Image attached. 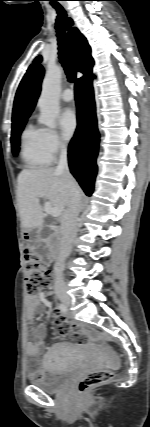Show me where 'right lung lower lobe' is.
<instances>
[{"instance_id":"obj_1","label":"right lung lower lobe","mask_w":150,"mask_h":427,"mask_svg":"<svg viewBox=\"0 0 150 427\" xmlns=\"http://www.w3.org/2000/svg\"><path fill=\"white\" fill-rule=\"evenodd\" d=\"M75 98L78 126L68 147L69 167L84 192L90 196L97 172L99 144L92 77L77 80Z\"/></svg>"}]
</instances>
